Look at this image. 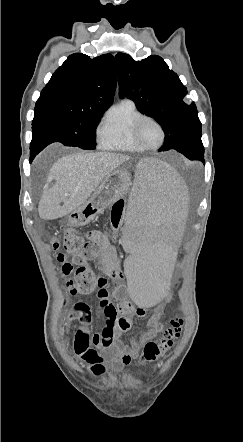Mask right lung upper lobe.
<instances>
[{
    "instance_id": "obj_1",
    "label": "right lung upper lobe",
    "mask_w": 243,
    "mask_h": 442,
    "mask_svg": "<svg viewBox=\"0 0 243 442\" xmlns=\"http://www.w3.org/2000/svg\"><path fill=\"white\" fill-rule=\"evenodd\" d=\"M116 64L111 54L91 59L75 53L60 66L39 99H55L80 110L105 111L113 102Z\"/></svg>"
}]
</instances>
